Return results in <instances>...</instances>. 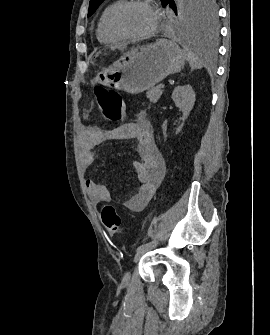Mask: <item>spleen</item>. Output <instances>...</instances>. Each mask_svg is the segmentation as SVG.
Wrapping results in <instances>:
<instances>
[{"mask_svg": "<svg viewBox=\"0 0 270 335\" xmlns=\"http://www.w3.org/2000/svg\"><path fill=\"white\" fill-rule=\"evenodd\" d=\"M184 48V52L187 56V60L192 70H195V68H199L202 60L198 44H195V46H184Z\"/></svg>", "mask_w": 270, "mask_h": 335, "instance_id": "1", "label": "spleen"}]
</instances>
